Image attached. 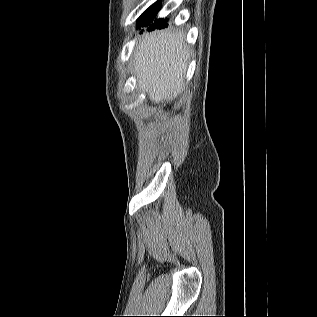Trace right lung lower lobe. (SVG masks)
Instances as JSON below:
<instances>
[{
	"mask_svg": "<svg viewBox=\"0 0 317 317\" xmlns=\"http://www.w3.org/2000/svg\"><path fill=\"white\" fill-rule=\"evenodd\" d=\"M148 30H153V28H150V27H149V29H148Z\"/></svg>",
	"mask_w": 317,
	"mask_h": 317,
	"instance_id": "right-lung-lower-lobe-1",
	"label": "right lung lower lobe"
}]
</instances>
